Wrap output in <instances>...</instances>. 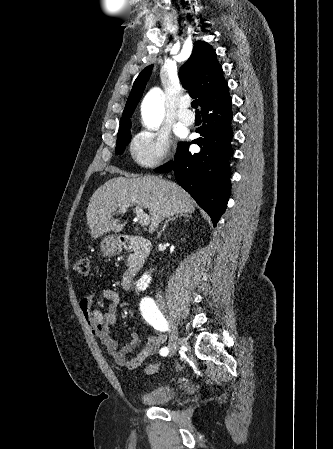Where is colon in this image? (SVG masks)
I'll use <instances>...</instances> for the list:
<instances>
[{"instance_id": "5ec220e1", "label": "colon", "mask_w": 333, "mask_h": 449, "mask_svg": "<svg viewBox=\"0 0 333 449\" xmlns=\"http://www.w3.org/2000/svg\"><path fill=\"white\" fill-rule=\"evenodd\" d=\"M73 269L76 273H78L80 275H87L89 273V269H90L89 258L85 257V256L78 258L73 264ZM158 369H159L158 365L152 364V365H149L145 371L148 374H153V373L157 372Z\"/></svg>"}]
</instances>
